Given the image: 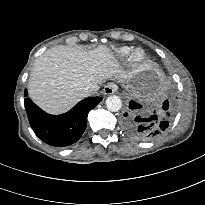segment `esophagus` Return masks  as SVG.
Returning <instances> with one entry per match:
<instances>
[{
	"instance_id": "esophagus-1",
	"label": "esophagus",
	"mask_w": 205,
	"mask_h": 205,
	"mask_svg": "<svg viewBox=\"0 0 205 205\" xmlns=\"http://www.w3.org/2000/svg\"><path fill=\"white\" fill-rule=\"evenodd\" d=\"M117 88L114 84H108L104 87L103 92L105 95H111L116 92Z\"/></svg>"
}]
</instances>
